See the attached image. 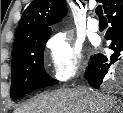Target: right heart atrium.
Returning <instances> with one entry per match:
<instances>
[{
	"label": "right heart atrium",
	"instance_id": "obj_1",
	"mask_svg": "<svg viewBox=\"0 0 123 113\" xmlns=\"http://www.w3.org/2000/svg\"><path fill=\"white\" fill-rule=\"evenodd\" d=\"M47 51L52 73L60 83L72 79L86 62L81 42L70 32L54 34L47 42Z\"/></svg>",
	"mask_w": 123,
	"mask_h": 113
}]
</instances>
